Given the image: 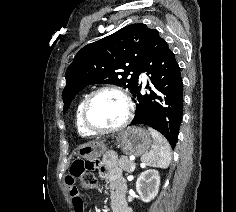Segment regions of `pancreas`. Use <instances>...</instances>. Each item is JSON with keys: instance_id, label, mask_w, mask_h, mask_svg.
Instances as JSON below:
<instances>
[{"instance_id": "1", "label": "pancreas", "mask_w": 236, "mask_h": 212, "mask_svg": "<svg viewBox=\"0 0 236 212\" xmlns=\"http://www.w3.org/2000/svg\"><path fill=\"white\" fill-rule=\"evenodd\" d=\"M134 164L135 163L130 161L127 156H121L118 160V166L127 173H131L133 171L131 167Z\"/></svg>"}]
</instances>
